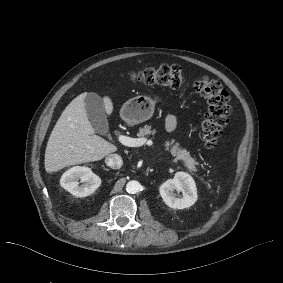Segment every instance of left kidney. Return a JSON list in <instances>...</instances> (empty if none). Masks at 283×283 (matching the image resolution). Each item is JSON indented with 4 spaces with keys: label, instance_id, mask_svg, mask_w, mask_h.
Returning a JSON list of instances; mask_svg holds the SVG:
<instances>
[{
    "label": "left kidney",
    "instance_id": "obj_1",
    "mask_svg": "<svg viewBox=\"0 0 283 283\" xmlns=\"http://www.w3.org/2000/svg\"><path fill=\"white\" fill-rule=\"evenodd\" d=\"M175 191L181 192L182 196H177ZM159 192L165 204L174 209L189 208L198 197L195 181L186 172H177L173 179L160 186Z\"/></svg>",
    "mask_w": 283,
    "mask_h": 283
}]
</instances>
